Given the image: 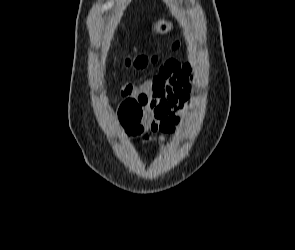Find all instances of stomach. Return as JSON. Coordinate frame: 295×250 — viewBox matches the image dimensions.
I'll return each mask as SVG.
<instances>
[{
    "instance_id": "obj_1",
    "label": "stomach",
    "mask_w": 295,
    "mask_h": 250,
    "mask_svg": "<svg viewBox=\"0 0 295 250\" xmlns=\"http://www.w3.org/2000/svg\"><path fill=\"white\" fill-rule=\"evenodd\" d=\"M173 28L171 22L166 21L165 19L159 20L156 22L154 29L157 33H167Z\"/></svg>"
}]
</instances>
